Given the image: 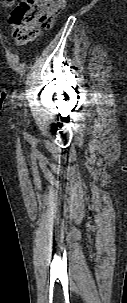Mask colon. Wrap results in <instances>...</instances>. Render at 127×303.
<instances>
[{
    "instance_id": "obj_1",
    "label": "colon",
    "mask_w": 127,
    "mask_h": 303,
    "mask_svg": "<svg viewBox=\"0 0 127 303\" xmlns=\"http://www.w3.org/2000/svg\"><path fill=\"white\" fill-rule=\"evenodd\" d=\"M11 6L14 0H0ZM66 0H23L13 10L9 22L16 43L26 44L36 39L42 29L51 27L55 15L65 6Z\"/></svg>"
}]
</instances>
